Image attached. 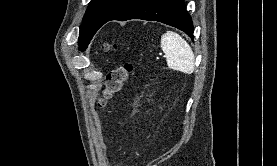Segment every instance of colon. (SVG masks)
Listing matches in <instances>:
<instances>
[{
	"mask_svg": "<svg viewBox=\"0 0 277 166\" xmlns=\"http://www.w3.org/2000/svg\"><path fill=\"white\" fill-rule=\"evenodd\" d=\"M113 45L106 44L104 49L108 50ZM133 71L131 63H124L108 72L104 79V87L97 101L98 108H104L107 103L122 89L125 82L129 79Z\"/></svg>",
	"mask_w": 277,
	"mask_h": 166,
	"instance_id": "obj_1",
	"label": "colon"
}]
</instances>
